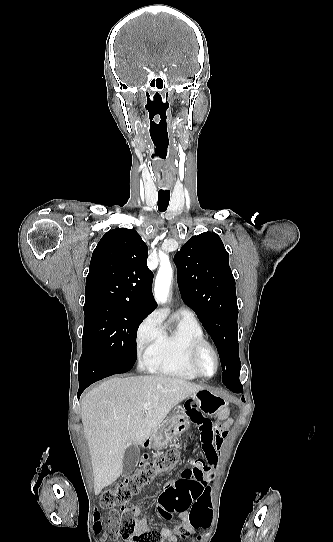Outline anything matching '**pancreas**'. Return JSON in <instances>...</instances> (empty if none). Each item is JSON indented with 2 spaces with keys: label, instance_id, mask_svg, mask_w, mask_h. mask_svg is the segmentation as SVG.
Here are the masks:
<instances>
[{
  "label": "pancreas",
  "instance_id": "1",
  "mask_svg": "<svg viewBox=\"0 0 333 542\" xmlns=\"http://www.w3.org/2000/svg\"><path fill=\"white\" fill-rule=\"evenodd\" d=\"M170 418H172V420H176V418H179V416H170Z\"/></svg>",
  "mask_w": 333,
  "mask_h": 542
}]
</instances>
